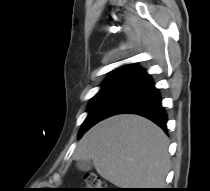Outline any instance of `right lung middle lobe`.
Here are the masks:
<instances>
[{
	"mask_svg": "<svg viewBox=\"0 0 210 191\" xmlns=\"http://www.w3.org/2000/svg\"><path fill=\"white\" fill-rule=\"evenodd\" d=\"M125 68L126 66H122L113 70L112 72H110L108 78L103 82L102 88L94 96L93 100L88 105L89 114L81 126L78 138H81L82 135L95 124L96 114L100 106L106 100L113 87L115 86L116 82L122 76Z\"/></svg>",
	"mask_w": 210,
	"mask_h": 191,
	"instance_id": "obj_1",
	"label": "right lung middle lobe"
}]
</instances>
